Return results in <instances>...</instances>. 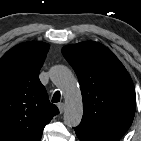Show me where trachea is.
Returning <instances> with one entry per match:
<instances>
[{
  "label": "trachea",
  "instance_id": "obj_1",
  "mask_svg": "<svg viewBox=\"0 0 141 141\" xmlns=\"http://www.w3.org/2000/svg\"><path fill=\"white\" fill-rule=\"evenodd\" d=\"M61 94L59 91H56L53 95L52 102L57 103L60 101Z\"/></svg>",
  "mask_w": 141,
  "mask_h": 141
}]
</instances>
